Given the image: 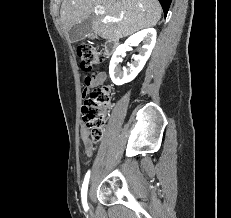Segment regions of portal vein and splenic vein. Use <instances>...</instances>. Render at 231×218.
Instances as JSON below:
<instances>
[{"label": "portal vein and splenic vein", "instance_id": "18ae733b", "mask_svg": "<svg viewBox=\"0 0 231 218\" xmlns=\"http://www.w3.org/2000/svg\"><path fill=\"white\" fill-rule=\"evenodd\" d=\"M95 12H96V13L103 14V13H104V7H103L102 5H96V6H95ZM107 19H108L110 22H119V21L122 20V19L113 18V17H107Z\"/></svg>", "mask_w": 231, "mask_h": 218}]
</instances>
